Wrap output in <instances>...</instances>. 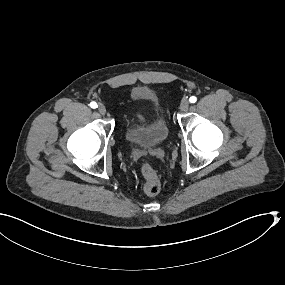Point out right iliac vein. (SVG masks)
<instances>
[{
	"mask_svg": "<svg viewBox=\"0 0 285 285\" xmlns=\"http://www.w3.org/2000/svg\"><path fill=\"white\" fill-rule=\"evenodd\" d=\"M98 111L100 114L104 115L106 113V107L104 105H99Z\"/></svg>",
	"mask_w": 285,
	"mask_h": 285,
	"instance_id": "obj_1",
	"label": "right iliac vein"
}]
</instances>
